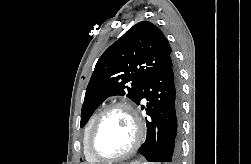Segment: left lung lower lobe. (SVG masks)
<instances>
[{
	"instance_id": "0a47b994",
	"label": "left lung lower lobe",
	"mask_w": 251,
	"mask_h": 164,
	"mask_svg": "<svg viewBox=\"0 0 251 164\" xmlns=\"http://www.w3.org/2000/svg\"><path fill=\"white\" fill-rule=\"evenodd\" d=\"M147 99L146 141L139 149L148 162L175 164L180 154L181 86L172 57L145 82L141 100ZM144 105H142V109Z\"/></svg>"
}]
</instances>
